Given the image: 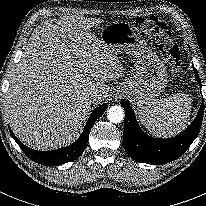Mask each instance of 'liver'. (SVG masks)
<instances>
[{
	"instance_id": "obj_1",
	"label": "liver",
	"mask_w": 206,
	"mask_h": 206,
	"mask_svg": "<svg viewBox=\"0 0 206 206\" xmlns=\"http://www.w3.org/2000/svg\"><path fill=\"white\" fill-rule=\"evenodd\" d=\"M101 22L63 16L33 31L5 96L10 127L28 147L47 151L71 143L92 104L108 97L105 83L123 76L116 53L90 32ZM92 93L101 99L92 102Z\"/></svg>"
}]
</instances>
